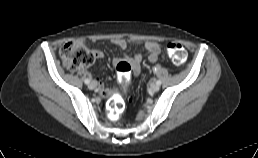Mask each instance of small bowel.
Returning a JSON list of instances; mask_svg holds the SVG:
<instances>
[{"mask_svg":"<svg viewBox=\"0 0 258 158\" xmlns=\"http://www.w3.org/2000/svg\"><path fill=\"white\" fill-rule=\"evenodd\" d=\"M112 43L115 46L119 47L124 52L123 57L120 61L122 60L127 61L131 66L133 74L135 76L139 75V73L142 70V65H141L142 53H137L133 56H130L126 52L129 45V42L126 39H122V38L114 39L112 40ZM142 48L144 52L148 55V59L150 62L155 63L159 60L162 52V46L160 43L156 41H146L143 43ZM93 53L98 59L104 58V54L100 50H94ZM94 82L97 87L98 96L106 98L111 95V91L104 87V84L100 78H96Z\"/></svg>","mask_w":258,"mask_h":158,"instance_id":"c3829d8e","label":"small bowel"}]
</instances>
